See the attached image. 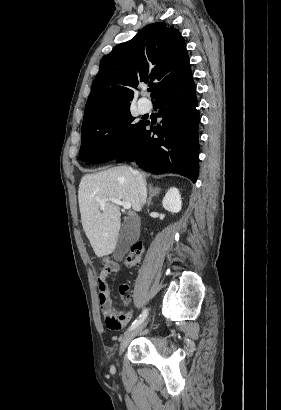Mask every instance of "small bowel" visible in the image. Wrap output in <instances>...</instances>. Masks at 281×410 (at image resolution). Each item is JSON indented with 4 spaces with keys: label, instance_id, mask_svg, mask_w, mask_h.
I'll list each match as a JSON object with an SVG mask.
<instances>
[{
    "label": "small bowel",
    "instance_id": "c3829d8e",
    "mask_svg": "<svg viewBox=\"0 0 281 410\" xmlns=\"http://www.w3.org/2000/svg\"><path fill=\"white\" fill-rule=\"evenodd\" d=\"M118 270H119V265L116 263H108V264L103 265L100 268V272H99L98 279H97V285H98V290H99L98 299H99V303H100V306L103 312L111 311L114 313V310L112 308V300L110 297V291L108 288L107 279L110 274L115 273ZM119 293L121 295H124L127 292L124 293V292L119 291ZM120 317L122 318V327H123L130 321V319L132 318V315L130 313H124V314H121Z\"/></svg>",
    "mask_w": 281,
    "mask_h": 410
}]
</instances>
